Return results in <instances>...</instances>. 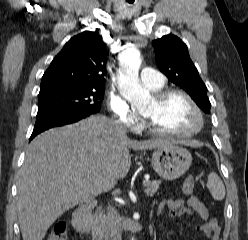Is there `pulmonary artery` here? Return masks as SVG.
Instances as JSON below:
<instances>
[{
    "instance_id": "e3ab8cb5",
    "label": "pulmonary artery",
    "mask_w": 248,
    "mask_h": 240,
    "mask_svg": "<svg viewBox=\"0 0 248 240\" xmlns=\"http://www.w3.org/2000/svg\"><path fill=\"white\" fill-rule=\"evenodd\" d=\"M140 79L147 87L151 89L161 87L165 83V79L159 71L148 67H145L141 70Z\"/></svg>"
}]
</instances>
